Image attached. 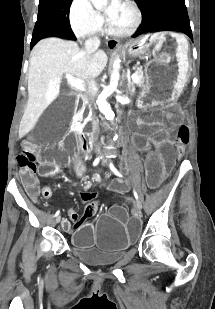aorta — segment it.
Returning a JSON list of instances; mask_svg holds the SVG:
<instances>
[{"label":"aorta","mask_w":215,"mask_h":309,"mask_svg":"<svg viewBox=\"0 0 215 309\" xmlns=\"http://www.w3.org/2000/svg\"><path fill=\"white\" fill-rule=\"evenodd\" d=\"M93 6L95 8H103V6H106L108 4V0H91ZM120 58H116L113 62V70L111 72L110 76V82L108 86H105V92H101L97 98V104L100 112L106 116V118H109V120H113L115 114L109 104L107 102L106 98L110 92H113V90H116L120 78ZM117 136H114V140H116Z\"/></svg>","instance_id":"obj_1"}]
</instances>
